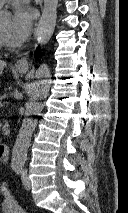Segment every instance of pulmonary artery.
Masks as SVG:
<instances>
[{
    "label": "pulmonary artery",
    "instance_id": "pulmonary-artery-1",
    "mask_svg": "<svg viewBox=\"0 0 128 213\" xmlns=\"http://www.w3.org/2000/svg\"><path fill=\"white\" fill-rule=\"evenodd\" d=\"M7 0H0V7L6 2Z\"/></svg>",
    "mask_w": 128,
    "mask_h": 213
}]
</instances>
